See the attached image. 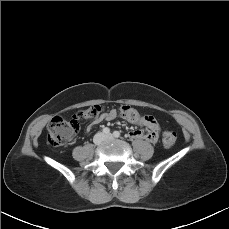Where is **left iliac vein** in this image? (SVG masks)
I'll use <instances>...</instances> for the list:
<instances>
[{
	"mask_svg": "<svg viewBox=\"0 0 229 229\" xmlns=\"http://www.w3.org/2000/svg\"><path fill=\"white\" fill-rule=\"evenodd\" d=\"M110 139H113V135H112V134H108V135L106 136V140H110Z\"/></svg>",
	"mask_w": 229,
	"mask_h": 229,
	"instance_id": "obj_1",
	"label": "left iliac vein"
}]
</instances>
